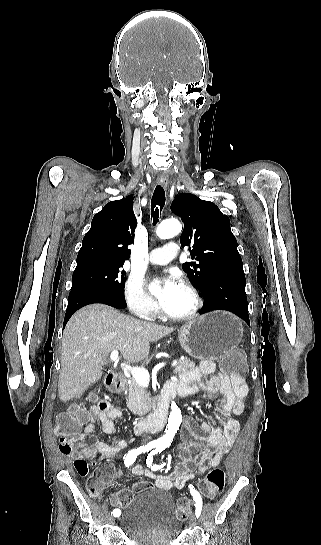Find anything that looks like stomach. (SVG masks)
Returning a JSON list of instances; mask_svg holds the SVG:
<instances>
[{
  "mask_svg": "<svg viewBox=\"0 0 321 545\" xmlns=\"http://www.w3.org/2000/svg\"><path fill=\"white\" fill-rule=\"evenodd\" d=\"M242 337L240 319L226 311L195 317L178 331L182 349L194 359H222L228 351L237 349Z\"/></svg>",
  "mask_w": 321,
  "mask_h": 545,
  "instance_id": "stomach-1",
  "label": "stomach"
}]
</instances>
